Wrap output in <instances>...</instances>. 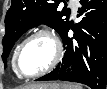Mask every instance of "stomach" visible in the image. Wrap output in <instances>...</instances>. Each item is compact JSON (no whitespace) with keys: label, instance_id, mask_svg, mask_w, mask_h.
I'll list each match as a JSON object with an SVG mask.
<instances>
[{"label":"stomach","instance_id":"stomach-1","mask_svg":"<svg viewBox=\"0 0 107 89\" xmlns=\"http://www.w3.org/2000/svg\"><path fill=\"white\" fill-rule=\"evenodd\" d=\"M31 89H65V86L64 85H59V86H56V85H45L43 88H31Z\"/></svg>","mask_w":107,"mask_h":89}]
</instances>
